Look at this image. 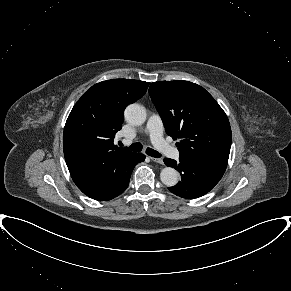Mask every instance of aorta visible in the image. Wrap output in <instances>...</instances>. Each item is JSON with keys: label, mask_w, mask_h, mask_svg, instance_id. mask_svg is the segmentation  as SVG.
I'll use <instances>...</instances> for the list:
<instances>
[{"label": "aorta", "mask_w": 291, "mask_h": 291, "mask_svg": "<svg viewBox=\"0 0 291 291\" xmlns=\"http://www.w3.org/2000/svg\"><path fill=\"white\" fill-rule=\"evenodd\" d=\"M125 120L132 125H142L146 120V111L144 107L133 103L125 109ZM160 179L168 187L175 186L179 179L178 172L171 167H165L161 170Z\"/></svg>", "instance_id": "1"}]
</instances>
